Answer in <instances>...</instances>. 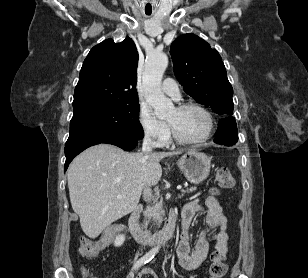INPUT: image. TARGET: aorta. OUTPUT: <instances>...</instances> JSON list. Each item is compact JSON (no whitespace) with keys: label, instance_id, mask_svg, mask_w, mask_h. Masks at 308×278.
Returning <instances> with one entry per match:
<instances>
[{"label":"aorta","instance_id":"1","mask_svg":"<svg viewBox=\"0 0 308 278\" xmlns=\"http://www.w3.org/2000/svg\"><path fill=\"white\" fill-rule=\"evenodd\" d=\"M167 66V55L154 53L147 57L143 74L145 99L158 118L165 117L174 108L172 101L161 90V81Z\"/></svg>","mask_w":308,"mask_h":278}]
</instances>
